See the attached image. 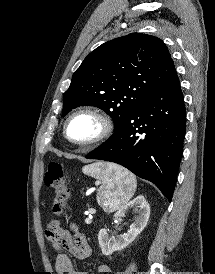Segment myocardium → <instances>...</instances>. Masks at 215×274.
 I'll return each instance as SVG.
<instances>
[{"label": "myocardium", "mask_w": 215, "mask_h": 274, "mask_svg": "<svg viewBox=\"0 0 215 274\" xmlns=\"http://www.w3.org/2000/svg\"><path fill=\"white\" fill-rule=\"evenodd\" d=\"M82 114L90 115L93 118H95L100 125V130H99L98 134L95 137H93L92 139L84 141V142H77V141L72 140L68 136L67 128H68L69 122L74 117H76L78 115H82ZM113 130H114V124H113L111 117L108 114H106L105 112H103L99 109H96V108H92V107H83V108H79V109L73 111L71 114L68 115V117L65 119L64 124H63V135H64L65 139L70 144L77 146V147H81V148L92 147V146H95V145L105 141L106 139H108L111 136V134L113 133Z\"/></svg>", "instance_id": "f54148a6"}]
</instances>
